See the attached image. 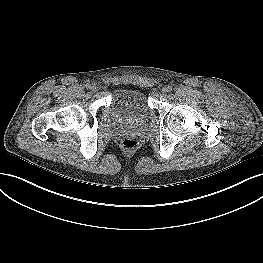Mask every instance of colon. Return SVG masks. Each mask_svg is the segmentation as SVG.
<instances>
[{"instance_id":"5ec220e1","label":"colon","mask_w":263,"mask_h":263,"mask_svg":"<svg viewBox=\"0 0 263 263\" xmlns=\"http://www.w3.org/2000/svg\"><path fill=\"white\" fill-rule=\"evenodd\" d=\"M125 149H134L137 146V142L133 139H125L122 143Z\"/></svg>"}]
</instances>
